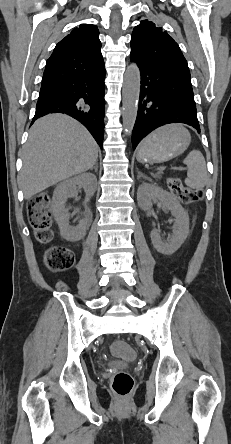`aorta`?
<instances>
[{"label": "aorta", "mask_w": 231, "mask_h": 444, "mask_svg": "<svg viewBox=\"0 0 231 444\" xmlns=\"http://www.w3.org/2000/svg\"><path fill=\"white\" fill-rule=\"evenodd\" d=\"M140 94V71L135 63H131L125 72L123 82V128L126 135L132 133L137 112Z\"/></svg>", "instance_id": "1"}]
</instances>
